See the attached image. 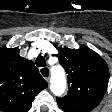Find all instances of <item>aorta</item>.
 Here are the masks:
<instances>
[{
  "mask_svg": "<svg viewBox=\"0 0 112 112\" xmlns=\"http://www.w3.org/2000/svg\"><path fill=\"white\" fill-rule=\"evenodd\" d=\"M50 82L51 91L56 96H61L62 94H64L67 84L65 72L62 67L56 66L52 69V76Z\"/></svg>",
  "mask_w": 112,
  "mask_h": 112,
  "instance_id": "1",
  "label": "aorta"
}]
</instances>
